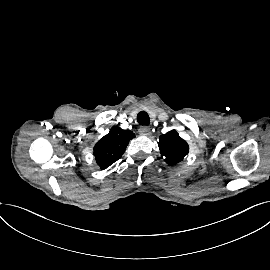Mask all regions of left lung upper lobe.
<instances>
[{"label":"left lung upper lobe","instance_id":"obj_1","mask_svg":"<svg viewBox=\"0 0 270 270\" xmlns=\"http://www.w3.org/2000/svg\"><path fill=\"white\" fill-rule=\"evenodd\" d=\"M158 146L162 158L169 165H175L183 160L189 152V146L175 130L159 137Z\"/></svg>","mask_w":270,"mask_h":270}]
</instances>
